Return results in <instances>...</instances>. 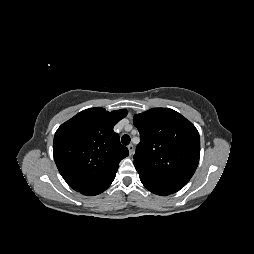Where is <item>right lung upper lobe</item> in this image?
<instances>
[{
  "mask_svg": "<svg viewBox=\"0 0 254 254\" xmlns=\"http://www.w3.org/2000/svg\"><path fill=\"white\" fill-rule=\"evenodd\" d=\"M126 109L108 112L101 107L79 112L62 124L53 141L54 160L67 184L78 191L116 175L129 152L113 131Z\"/></svg>",
  "mask_w": 254,
  "mask_h": 254,
  "instance_id": "right-lung-upper-lobe-1",
  "label": "right lung upper lobe"
}]
</instances>
